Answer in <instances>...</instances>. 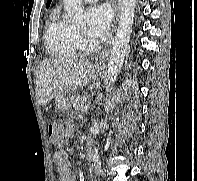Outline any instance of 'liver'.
<instances>
[{
  "mask_svg": "<svg viewBox=\"0 0 197 181\" xmlns=\"http://www.w3.org/2000/svg\"><path fill=\"white\" fill-rule=\"evenodd\" d=\"M94 73V65L78 58L42 61L36 71L35 92L38 103L47 105L63 90L85 87L93 79Z\"/></svg>",
  "mask_w": 197,
  "mask_h": 181,
  "instance_id": "6515ba94",
  "label": "liver"
}]
</instances>
